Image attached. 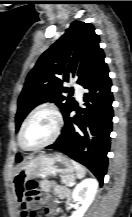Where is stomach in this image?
<instances>
[{
  "instance_id": "1",
  "label": "stomach",
  "mask_w": 132,
  "mask_h": 217,
  "mask_svg": "<svg viewBox=\"0 0 132 217\" xmlns=\"http://www.w3.org/2000/svg\"><path fill=\"white\" fill-rule=\"evenodd\" d=\"M75 171L71 160L61 153L40 154L31 158L14 174V186H24L31 178H46L57 173L71 175Z\"/></svg>"
}]
</instances>
